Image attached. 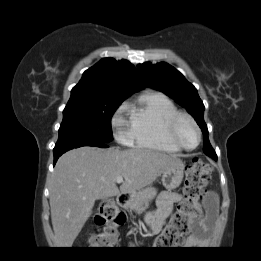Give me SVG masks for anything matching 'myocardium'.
Segmentation results:
<instances>
[{
    "label": "myocardium",
    "mask_w": 261,
    "mask_h": 261,
    "mask_svg": "<svg viewBox=\"0 0 261 261\" xmlns=\"http://www.w3.org/2000/svg\"><path fill=\"white\" fill-rule=\"evenodd\" d=\"M184 121L189 122L197 132L198 141H197V144L194 147L185 146L180 139L179 129H180L181 124ZM168 134H169V137H170V140L172 141V143L175 146H177L179 149L185 150V151L195 150L196 148H198V146L200 145V143L202 141V133H201V129H200L199 125L197 124L195 119L187 113L179 112L169 121V123H168Z\"/></svg>",
    "instance_id": "obj_1"
}]
</instances>
